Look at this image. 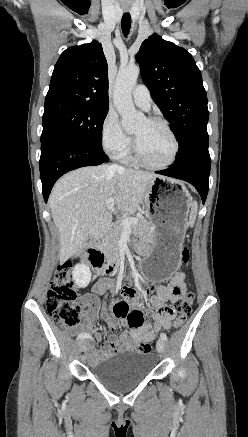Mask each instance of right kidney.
I'll use <instances>...</instances> for the list:
<instances>
[{
	"label": "right kidney",
	"instance_id": "1",
	"mask_svg": "<svg viewBox=\"0 0 248 437\" xmlns=\"http://www.w3.org/2000/svg\"><path fill=\"white\" fill-rule=\"evenodd\" d=\"M72 276L74 282L81 288H85L91 280L90 269L83 263L75 265Z\"/></svg>",
	"mask_w": 248,
	"mask_h": 437
}]
</instances>
